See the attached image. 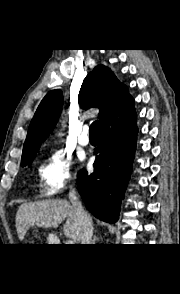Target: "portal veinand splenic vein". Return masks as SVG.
<instances>
[{"label":"portal vein and splenic vein","mask_w":180,"mask_h":294,"mask_svg":"<svg viewBox=\"0 0 180 294\" xmlns=\"http://www.w3.org/2000/svg\"><path fill=\"white\" fill-rule=\"evenodd\" d=\"M67 244H74V242L72 240H68Z\"/></svg>","instance_id":"portal-vein-and-splenic-vein-1"}]
</instances>
